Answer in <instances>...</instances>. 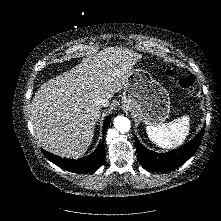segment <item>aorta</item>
Returning <instances> with one entry per match:
<instances>
[{"label":"aorta","instance_id":"obj_1","mask_svg":"<svg viewBox=\"0 0 221 221\" xmlns=\"http://www.w3.org/2000/svg\"><path fill=\"white\" fill-rule=\"evenodd\" d=\"M114 127L117 131L121 133H126L130 130L131 124L127 117L125 116H117L114 119Z\"/></svg>","mask_w":221,"mask_h":221}]
</instances>
